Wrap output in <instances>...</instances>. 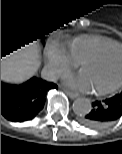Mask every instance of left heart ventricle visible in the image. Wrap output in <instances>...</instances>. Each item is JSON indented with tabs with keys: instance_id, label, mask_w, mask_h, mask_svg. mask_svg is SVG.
Here are the masks:
<instances>
[{
	"instance_id": "1",
	"label": "left heart ventricle",
	"mask_w": 122,
	"mask_h": 154,
	"mask_svg": "<svg viewBox=\"0 0 122 154\" xmlns=\"http://www.w3.org/2000/svg\"><path fill=\"white\" fill-rule=\"evenodd\" d=\"M81 74L90 90H98L115 83L122 76V49L111 50L86 63Z\"/></svg>"
}]
</instances>
